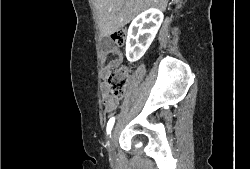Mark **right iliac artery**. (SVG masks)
I'll return each mask as SVG.
<instances>
[{"label":"right iliac artery","instance_id":"82829eb1","mask_svg":"<svg viewBox=\"0 0 250 169\" xmlns=\"http://www.w3.org/2000/svg\"><path fill=\"white\" fill-rule=\"evenodd\" d=\"M114 122H115L114 117L110 118V120L108 121V123H107V134H111V130L113 128Z\"/></svg>","mask_w":250,"mask_h":169}]
</instances>
